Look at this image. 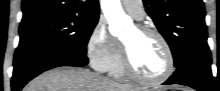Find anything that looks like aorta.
<instances>
[{
  "instance_id": "aorta-1",
  "label": "aorta",
  "mask_w": 220,
  "mask_h": 91,
  "mask_svg": "<svg viewBox=\"0 0 220 91\" xmlns=\"http://www.w3.org/2000/svg\"><path fill=\"white\" fill-rule=\"evenodd\" d=\"M101 6L113 36H120L125 27L131 26V20L123 12L120 0H101Z\"/></svg>"
}]
</instances>
